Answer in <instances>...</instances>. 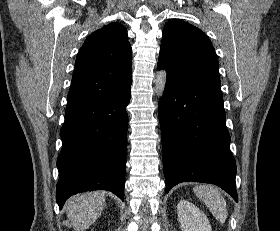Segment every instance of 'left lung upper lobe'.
<instances>
[{
  "label": "left lung upper lobe",
  "instance_id": "obj_1",
  "mask_svg": "<svg viewBox=\"0 0 280 231\" xmlns=\"http://www.w3.org/2000/svg\"><path fill=\"white\" fill-rule=\"evenodd\" d=\"M158 68L166 70L170 81L221 86L218 59L209 38L181 20H171L163 29Z\"/></svg>",
  "mask_w": 280,
  "mask_h": 231
}]
</instances>
